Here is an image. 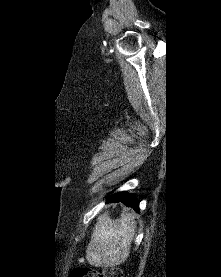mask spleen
Instances as JSON below:
<instances>
[{"instance_id": "obj_1", "label": "spleen", "mask_w": 221, "mask_h": 277, "mask_svg": "<svg viewBox=\"0 0 221 277\" xmlns=\"http://www.w3.org/2000/svg\"><path fill=\"white\" fill-rule=\"evenodd\" d=\"M136 223L131 214L122 213L118 221L107 214L98 219L87 246L86 259L96 266H116L129 256Z\"/></svg>"}]
</instances>
